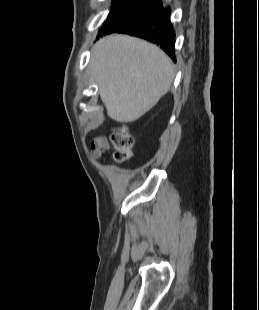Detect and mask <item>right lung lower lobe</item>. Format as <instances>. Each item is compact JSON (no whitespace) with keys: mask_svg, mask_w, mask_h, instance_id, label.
I'll return each instance as SVG.
<instances>
[{"mask_svg":"<svg viewBox=\"0 0 259 310\" xmlns=\"http://www.w3.org/2000/svg\"><path fill=\"white\" fill-rule=\"evenodd\" d=\"M157 1L159 3L154 8L114 32L129 34L155 43L176 61L175 32L170 22V8L164 9L161 1Z\"/></svg>","mask_w":259,"mask_h":310,"instance_id":"98d812e1","label":"right lung lower lobe"}]
</instances>
